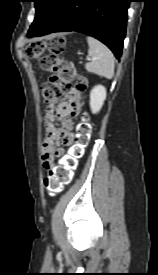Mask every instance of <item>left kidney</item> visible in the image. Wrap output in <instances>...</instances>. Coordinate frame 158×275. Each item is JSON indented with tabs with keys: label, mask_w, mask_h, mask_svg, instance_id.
<instances>
[{
	"label": "left kidney",
	"mask_w": 158,
	"mask_h": 275,
	"mask_svg": "<svg viewBox=\"0 0 158 275\" xmlns=\"http://www.w3.org/2000/svg\"><path fill=\"white\" fill-rule=\"evenodd\" d=\"M106 89L102 85H96L90 92V108L93 114L100 111L106 99Z\"/></svg>",
	"instance_id": "1"
}]
</instances>
